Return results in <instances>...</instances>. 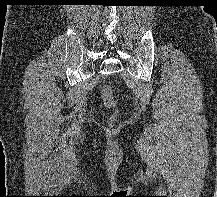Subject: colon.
Segmentation results:
<instances>
[{
  "instance_id": "obj_1",
  "label": "colon",
  "mask_w": 217,
  "mask_h": 197,
  "mask_svg": "<svg viewBox=\"0 0 217 197\" xmlns=\"http://www.w3.org/2000/svg\"><path fill=\"white\" fill-rule=\"evenodd\" d=\"M102 100L106 107L115 108L116 101L114 99L113 91L111 86L105 85L102 89Z\"/></svg>"
}]
</instances>
